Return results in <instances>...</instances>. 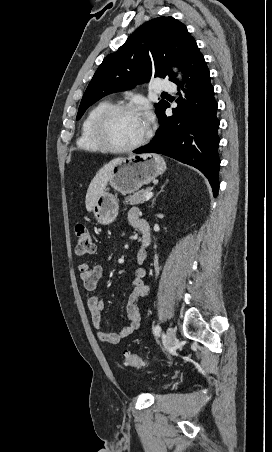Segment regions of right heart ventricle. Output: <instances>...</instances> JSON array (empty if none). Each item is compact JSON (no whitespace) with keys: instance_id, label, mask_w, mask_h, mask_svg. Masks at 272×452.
<instances>
[{"instance_id":"1","label":"right heart ventricle","mask_w":272,"mask_h":452,"mask_svg":"<svg viewBox=\"0 0 272 452\" xmlns=\"http://www.w3.org/2000/svg\"><path fill=\"white\" fill-rule=\"evenodd\" d=\"M110 104L111 103L109 101L103 100L98 102L89 110L81 124L80 133L77 139V146L80 149L90 152L105 150L94 136L93 123L98 113Z\"/></svg>"}]
</instances>
